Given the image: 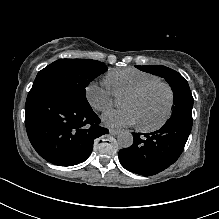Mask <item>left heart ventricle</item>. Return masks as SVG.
<instances>
[{
  "instance_id": "obj_1",
  "label": "left heart ventricle",
  "mask_w": 219,
  "mask_h": 219,
  "mask_svg": "<svg viewBox=\"0 0 219 219\" xmlns=\"http://www.w3.org/2000/svg\"><path fill=\"white\" fill-rule=\"evenodd\" d=\"M169 94L164 86H154L136 97H125L123 106L131 108L138 116L139 124H158L167 111Z\"/></svg>"
}]
</instances>
